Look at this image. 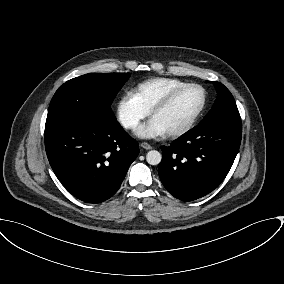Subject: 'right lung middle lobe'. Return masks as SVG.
<instances>
[{"label":"right lung middle lobe","mask_w":284,"mask_h":284,"mask_svg":"<svg viewBox=\"0 0 284 284\" xmlns=\"http://www.w3.org/2000/svg\"><path fill=\"white\" fill-rule=\"evenodd\" d=\"M128 73H91L64 83L54 94L45 131L75 118L113 117L110 108Z\"/></svg>","instance_id":"right-lung-middle-lobe-1"}]
</instances>
